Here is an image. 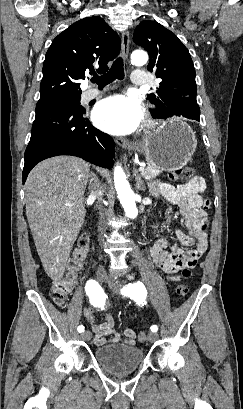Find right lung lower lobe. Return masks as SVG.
<instances>
[{"label":"right lung lower lobe","mask_w":243,"mask_h":409,"mask_svg":"<svg viewBox=\"0 0 243 409\" xmlns=\"http://www.w3.org/2000/svg\"><path fill=\"white\" fill-rule=\"evenodd\" d=\"M114 146L109 135L92 126L83 107L37 103L31 138L25 151L23 183L37 163L57 155H73L111 168Z\"/></svg>","instance_id":"98d812e1"}]
</instances>
